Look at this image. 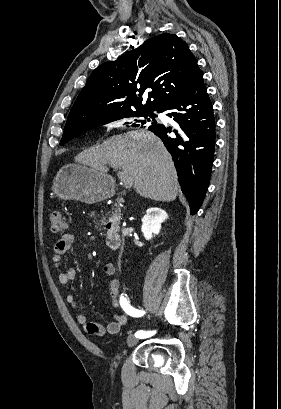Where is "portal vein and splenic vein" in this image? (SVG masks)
I'll list each match as a JSON object with an SVG mask.
<instances>
[{
    "label": "portal vein and splenic vein",
    "mask_w": 281,
    "mask_h": 409,
    "mask_svg": "<svg viewBox=\"0 0 281 409\" xmlns=\"http://www.w3.org/2000/svg\"><path fill=\"white\" fill-rule=\"evenodd\" d=\"M106 164H110V162H106ZM111 166H112V164H111ZM118 176H119L121 182H123V184H124V190L125 191H130L131 189H133L135 187V182L133 181L132 176H129V174H127V172H123V170H119Z\"/></svg>",
    "instance_id": "1"
}]
</instances>
